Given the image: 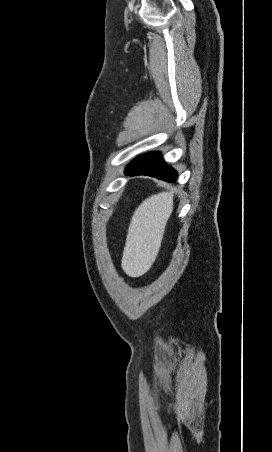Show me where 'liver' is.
<instances>
[{"label": "liver", "mask_w": 272, "mask_h": 452, "mask_svg": "<svg viewBox=\"0 0 272 452\" xmlns=\"http://www.w3.org/2000/svg\"><path fill=\"white\" fill-rule=\"evenodd\" d=\"M172 211L173 194L169 192L150 196L135 210L121 260L128 276L140 277L151 268Z\"/></svg>", "instance_id": "liver-1"}]
</instances>
